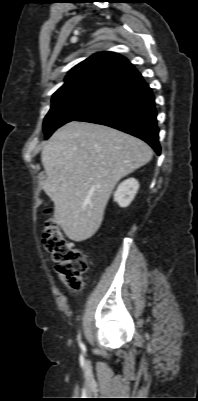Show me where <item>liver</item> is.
I'll list each match as a JSON object with an SVG mask.
<instances>
[{
    "label": "liver",
    "mask_w": 198,
    "mask_h": 401,
    "mask_svg": "<svg viewBox=\"0 0 198 401\" xmlns=\"http://www.w3.org/2000/svg\"><path fill=\"white\" fill-rule=\"evenodd\" d=\"M152 155L144 141L111 127L78 121L60 127L41 153L55 223L75 242L92 237L117 182Z\"/></svg>",
    "instance_id": "obj_1"
}]
</instances>
